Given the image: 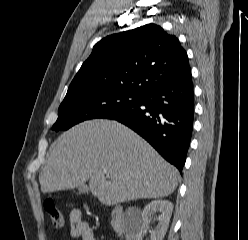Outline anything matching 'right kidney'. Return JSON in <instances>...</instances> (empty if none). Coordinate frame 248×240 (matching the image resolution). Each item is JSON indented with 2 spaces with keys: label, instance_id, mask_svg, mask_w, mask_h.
Returning <instances> with one entry per match:
<instances>
[{
  "label": "right kidney",
  "instance_id": "ca27d5eb",
  "mask_svg": "<svg viewBox=\"0 0 248 240\" xmlns=\"http://www.w3.org/2000/svg\"><path fill=\"white\" fill-rule=\"evenodd\" d=\"M172 211L173 204L170 201L158 199L150 202L143 209L141 222L131 225L126 230V240H142L143 234L148 229L151 217L157 212L160 215L156 228L150 231L151 240H163L169 226Z\"/></svg>",
  "mask_w": 248,
  "mask_h": 240
}]
</instances>
